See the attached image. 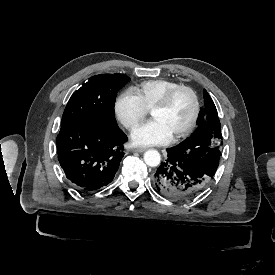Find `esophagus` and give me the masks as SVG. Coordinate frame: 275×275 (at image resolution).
<instances>
[{
    "instance_id": "34e87169",
    "label": "esophagus",
    "mask_w": 275,
    "mask_h": 275,
    "mask_svg": "<svg viewBox=\"0 0 275 275\" xmlns=\"http://www.w3.org/2000/svg\"><path fill=\"white\" fill-rule=\"evenodd\" d=\"M135 152L142 153L145 151V148H136L134 149Z\"/></svg>"
}]
</instances>
